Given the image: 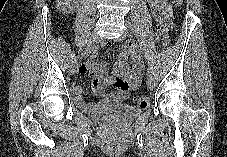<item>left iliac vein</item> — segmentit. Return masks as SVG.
Masks as SVG:
<instances>
[{
  "instance_id": "1",
  "label": "left iliac vein",
  "mask_w": 227,
  "mask_h": 157,
  "mask_svg": "<svg viewBox=\"0 0 227 157\" xmlns=\"http://www.w3.org/2000/svg\"><path fill=\"white\" fill-rule=\"evenodd\" d=\"M126 25H127V29H126V31L122 34L120 40H123V39H125V38L128 36L129 29H130V24H129V22H127ZM155 85H156V84H155L154 78L152 77V75L149 76V77L147 78V87H148V89L153 90V89L155 88Z\"/></svg>"
}]
</instances>
